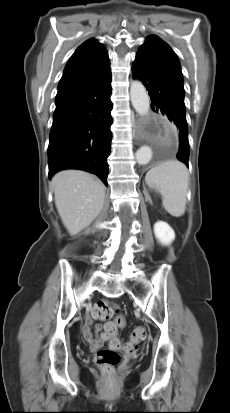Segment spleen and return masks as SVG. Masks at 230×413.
I'll use <instances>...</instances> for the list:
<instances>
[{
  "instance_id": "spleen-1",
  "label": "spleen",
  "mask_w": 230,
  "mask_h": 413,
  "mask_svg": "<svg viewBox=\"0 0 230 413\" xmlns=\"http://www.w3.org/2000/svg\"><path fill=\"white\" fill-rule=\"evenodd\" d=\"M145 181L162 195L163 206L170 215L180 217L185 213L189 173L183 163L163 162L147 172Z\"/></svg>"
}]
</instances>
